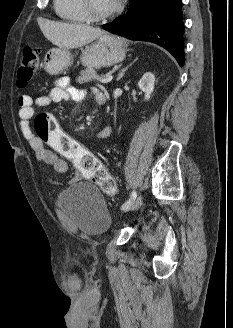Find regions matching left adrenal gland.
<instances>
[{"instance_id":"obj_1","label":"left adrenal gland","mask_w":233,"mask_h":328,"mask_svg":"<svg viewBox=\"0 0 233 328\" xmlns=\"http://www.w3.org/2000/svg\"><path fill=\"white\" fill-rule=\"evenodd\" d=\"M137 60L138 58L134 59L132 63H130L127 67L121 70V72L118 74L117 81H119L124 76L125 72L129 69V67H131Z\"/></svg>"}]
</instances>
